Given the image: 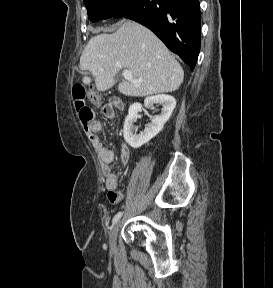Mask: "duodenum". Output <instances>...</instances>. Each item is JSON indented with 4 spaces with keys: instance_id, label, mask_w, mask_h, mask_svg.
<instances>
[{
    "instance_id": "1",
    "label": "duodenum",
    "mask_w": 273,
    "mask_h": 288,
    "mask_svg": "<svg viewBox=\"0 0 273 288\" xmlns=\"http://www.w3.org/2000/svg\"><path fill=\"white\" fill-rule=\"evenodd\" d=\"M113 105H117V103L115 101L111 102Z\"/></svg>"
}]
</instances>
